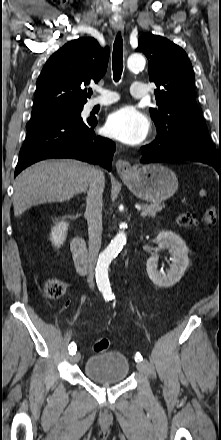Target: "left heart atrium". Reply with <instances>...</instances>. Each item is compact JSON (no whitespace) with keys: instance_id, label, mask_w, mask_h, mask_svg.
Instances as JSON below:
<instances>
[{"instance_id":"obj_1","label":"left heart atrium","mask_w":221,"mask_h":440,"mask_svg":"<svg viewBox=\"0 0 221 440\" xmlns=\"http://www.w3.org/2000/svg\"><path fill=\"white\" fill-rule=\"evenodd\" d=\"M106 132L109 136L126 144H138L147 135V118L133 107H123L107 119Z\"/></svg>"}]
</instances>
